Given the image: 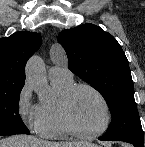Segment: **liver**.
<instances>
[{"mask_svg": "<svg viewBox=\"0 0 145 147\" xmlns=\"http://www.w3.org/2000/svg\"><path fill=\"white\" fill-rule=\"evenodd\" d=\"M0 147H97L87 142H49L28 135H15L0 140Z\"/></svg>", "mask_w": 145, "mask_h": 147, "instance_id": "1", "label": "liver"}]
</instances>
